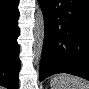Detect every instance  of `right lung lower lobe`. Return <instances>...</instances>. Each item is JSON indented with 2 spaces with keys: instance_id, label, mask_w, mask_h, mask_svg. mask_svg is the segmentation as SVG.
<instances>
[{
  "instance_id": "1",
  "label": "right lung lower lobe",
  "mask_w": 89,
  "mask_h": 89,
  "mask_svg": "<svg viewBox=\"0 0 89 89\" xmlns=\"http://www.w3.org/2000/svg\"><path fill=\"white\" fill-rule=\"evenodd\" d=\"M18 4L19 0H0V85L8 89L19 86Z\"/></svg>"
}]
</instances>
